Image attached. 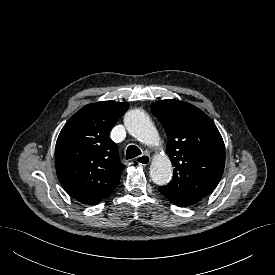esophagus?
Returning <instances> with one entry per match:
<instances>
[{
    "instance_id": "obj_1",
    "label": "esophagus",
    "mask_w": 275,
    "mask_h": 275,
    "mask_svg": "<svg viewBox=\"0 0 275 275\" xmlns=\"http://www.w3.org/2000/svg\"><path fill=\"white\" fill-rule=\"evenodd\" d=\"M151 157L148 154H142L136 158V162L141 166H146L150 163Z\"/></svg>"
}]
</instances>
